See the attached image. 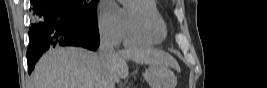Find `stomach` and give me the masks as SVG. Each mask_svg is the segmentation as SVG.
Returning <instances> with one entry per match:
<instances>
[{
  "mask_svg": "<svg viewBox=\"0 0 267 88\" xmlns=\"http://www.w3.org/2000/svg\"><path fill=\"white\" fill-rule=\"evenodd\" d=\"M143 76L151 88H175L176 77L168 68L150 65Z\"/></svg>",
  "mask_w": 267,
  "mask_h": 88,
  "instance_id": "stomach-1",
  "label": "stomach"
}]
</instances>
